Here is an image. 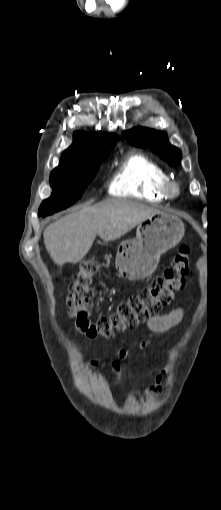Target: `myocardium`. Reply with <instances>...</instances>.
Returning <instances> with one entry per match:
<instances>
[{
  "label": "myocardium",
  "mask_w": 221,
  "mask_h": 510,
  "mask_svg": "<svg viewBox=\"0 0 221 510\" xmlns=\"http://www.w3.org/2000/svg\"><path fill=\"white\" fill-rule=\"evenodd\" d=\"M163 193L167 198L176 199L180 194L178 184L169 179L162 187Z\"/></svg>",
  "instance_id": "myocardium-1"
}]
</instances>
